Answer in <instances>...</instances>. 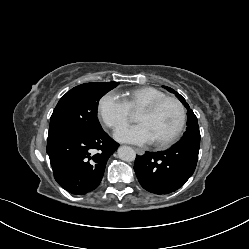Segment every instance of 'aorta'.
Returning a JSON list of instances; mask_svg holds the SVG:
<instances>
[{
  "instance_id": "762f6f07",
  "label": "aorta",
  "mask_w": 249,
  "mask_h": 249,
  "mask_svg": "<svg viewBox=\"0 0 249 249\" xmlns=\"http://www.w3.org/2000/svg\"><path fill=\"white\" fill-rule=\"evenodd\" d=\"M118 157L123 161L132 162L136 158V153L129 146H121L118 148Z\"/></svg>"
}]
</instances>
